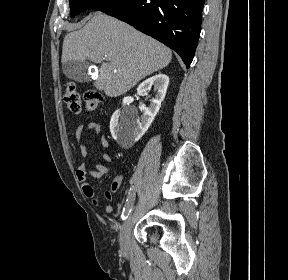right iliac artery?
<instances>
[{
  "label": "right iliac artery",
  "instance_id": "obj_1",
  "mask_svg": "<svg viewBox=\"0 0 288 280\" xmlns=\"http://www.w3.org/2000/svg\"><path fill=\"white\" fill-rule=\"evenodd\" d=\"M135 194H136L135 193V188L131 187L130 190H129L127 199H126L125 206L123 208V212H122V219L123 220L128 217L129 213L132 210V206H133V203H134V200H135Z\"/></svg>",
  "mask_w": 288,
  "mask_h": 280
}]
</instances>
